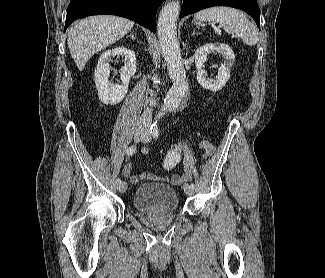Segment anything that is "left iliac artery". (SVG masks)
I'll return each instance as SVG.
<instances>
[{
	"mask_svg": "<svg viewBox=\"0 0 325 278\" xmlns=\"http://www.w3.org/2000/svg\"><path fill=\"white\" fill-rule=\"evenodd\" d=\"M151 133H152V136H153L154 138H158V136H159V129H158V126H157V125L153 124V125L151 126ZM190 186H191L193 189H195V187H196L194 183H191Z\"/></svg>",
	"mask_w": 325,
	"mask_h": 278,
	"instance_id": "1",
	"label": "left iliac artery"
}]
</instances>
